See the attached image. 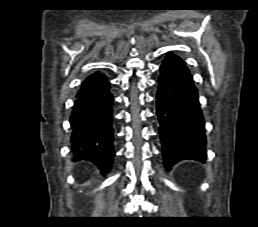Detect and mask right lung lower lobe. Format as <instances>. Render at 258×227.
<instances>
[{
	"label": "right lung lower lobe",
	"mask_w": 258,
	"mask_h": 227,
	"mask_svg": "<svg viewBox=\"0 0 258 227\" xmlns=\"http://www.w3.org/2000/svg\"><path fill=\"white\" fill-rule=\"evenodd\" d=\"M112 105L108 78L96 72L82 83L70 117L74 159L91 161L104 172L115 156Z\"/></svg>",
	"instance_id": "right-lung-lower-lobe-1"
}]
</instances>
